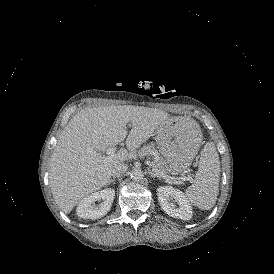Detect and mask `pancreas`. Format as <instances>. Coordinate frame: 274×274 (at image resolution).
<instances>
[{"instance_id": "1", "label": "pancreas", "mask_w": 274, "mask_h": 274, "mask_svg": "<svg viewBox=\"0 0 274 274\" xmlns=\"http://www.w3.org/2000/svg\"><path fill=\"white\" fill-rule=\"evenodd\" d=\"M138 156L140 157H146L148 154L153 159V166L157 169L161 170L164 173H167V170L164 168L165 164L167 163V160L161 156H159V153L157 150L152 146H145L141 148V151H139Z\"/></svg>"}]
</instances>
